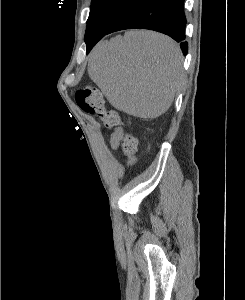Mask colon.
Segmentation results:
<instances>
[{"label": "colon", "mask_w": 245, "mask_h": 300, "mask_svg": "<svg viewBox=\"0 0 245 300\" xmlns=\"http://www.w3.org/2000/svg\"><path fill=\"white\" fill-rule=\"evenodd\" d=\"M76 102L83 112L100 118L108 127H120V117L116 111L106 110L103 95L94 86H84L76 92ZM138 141L130 132H125L122 139V151L128 162H136Z\"/></svg>", "instance_id": "5ec220e1"}]
</instances>
